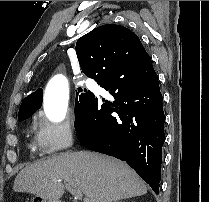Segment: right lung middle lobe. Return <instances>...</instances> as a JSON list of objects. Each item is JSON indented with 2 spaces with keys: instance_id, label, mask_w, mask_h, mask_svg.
Here are the masks:
<instances>
[{
  "instance_id": "right-lung-middle-lobe-1",
  "label": "right lung middle lobe",
  "mask_w": 209,
  "mask_h": 202,
  "mask_svg": "<svg viewBox=\"0 0 209 202\" xmlns=\"http://www.w3.org/2000/svg\"><path fill=\"white\" fill-rule=\"evenodd\" d=\"M79 91L76 93V102H75V116H79L85 110L90 98L94 95L91 91L87 89L79 88ZM35 108H23L19 111L18 120L22 121L29 118L37 109Z\"/></svg>"
}]
</instances>
